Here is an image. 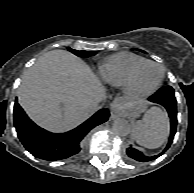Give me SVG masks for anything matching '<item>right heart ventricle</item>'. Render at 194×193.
I'll return each instance as SVG.
<instances>
[{
  "label": "right heart ventricle",
  "instance_id": "e07e8e85",
  "mask_svg": "<svg viewBox=\"0 0 194 193\" xmlns=\"http://www.w3.org/2000/svg\"><path fill=\"white\" fill-rule=\"evenodd\" d=\"M145 58L129 52H120L105 58L99 65L101 79L114 87H124L133 68Z\"/></svg>",
  "mask_w": 194,
  "mask_h": 193
}]
</instances>
